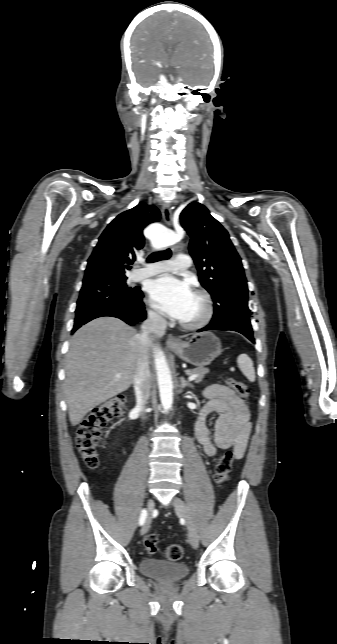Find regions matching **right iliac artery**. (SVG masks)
<instances>
[{
    "instance_id": "82829eb1",
    "label": "right iliac artery",
    "mask_w": 337,
    "mask_h": 644,
    "mask_svg": "<svg viewBox=\"0 0 337 644\" xmlns=\"http://www.w3.org/2000/svg\"><path fill=\"white\" fill-rule=\"evenodd\" d=\"M146 518H147V511L145 509H143L141 511V515H140V518H139V524L143 525L145 523V521H146Z\"/></svg>"
}]
</instances>
